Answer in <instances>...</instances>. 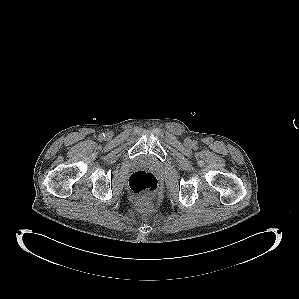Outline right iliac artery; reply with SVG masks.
I'll list each match as a JSON object with an SVG mask.
<instances>
[{
    "mask_svg": "<svg viewBox=\"0 0 299 299\" xmlns=\"http://www.w3.org/2000/svg\"><path fill=\"white\" fill-rule=\"evenodd\" d=\"M104 137H105L104 134H100V135H99V139H103Z\"/></svg>",
    "mask_w": 299,
    "mask_h": 299,
    "instance_id": "1",
    "label": "right iliac artery"
}]
</instances>
